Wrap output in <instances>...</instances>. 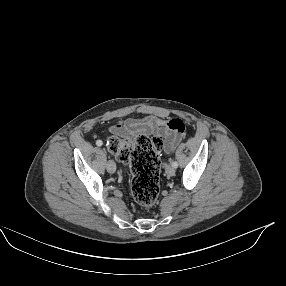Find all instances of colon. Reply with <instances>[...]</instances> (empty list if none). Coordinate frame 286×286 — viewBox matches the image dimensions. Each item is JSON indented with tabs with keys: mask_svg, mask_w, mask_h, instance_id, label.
<instances>
[{
	"mask_svg": "<svg viewBox=\"0 0 286 286\" xmlns=\"http://www.w3.org/2000/svg\"><path fill=\"white\" fill-rule=\"evenodd\" d=\"M177 125L184 131L182 121H178ZM161 146L162 142L157 137L150 140L146 136H138L134 143L118 136L107 140L108 151L119 161L130 165L133 172L131 194L145 208L153 207L158 199L160 168L156 151Z\"/></svg>",
	"mask_w": 286,
	"mask_h": 286,
	"instance_id": "5ec220e1",
	"label": "colon"
}]
</instances>
